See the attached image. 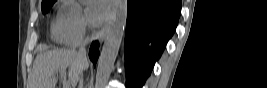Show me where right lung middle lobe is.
<instances>
[{
    "instance_id": "1",
    "label": "right lung middle lobe",
    "mask_w": 267,
    "mask_h": 88,
    "mask_svg": "<svg viewBox=\"0 0 267 88\" xmlns=\"http://www.w3.org/2000/svg\"><path fill=\"white\" fill-rule=\"evenodd\" d=\"M55 1L56 0H50V1L42 2V12L47 13L51 9V7L55 3Z\"/></svg>"
}]
</instances>
